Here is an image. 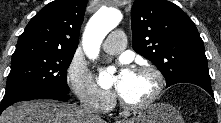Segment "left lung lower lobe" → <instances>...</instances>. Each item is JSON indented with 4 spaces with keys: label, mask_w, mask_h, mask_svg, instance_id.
Instances as JSON below:
<instances>
[{
    "label": "left lung lower lobe",
    "mask_w": 221,
    "mask_h": 123,
    "mask_svg": "<svg viewBox=\"0 0 221 123\" xmlns=\"http://www.w3.org/2000/svg\"><path fill=\"white\" fill-rule=\"evenodd\" d=\"M176 83H192V84L198 85L202 87L203 89H205L212 97H214L212 88H211V81L209 80H204L200 78H185V79L173 82L172 84L167 85V87Z\"/></svg>",
    "instance_id": "1"
}]
</instances>
